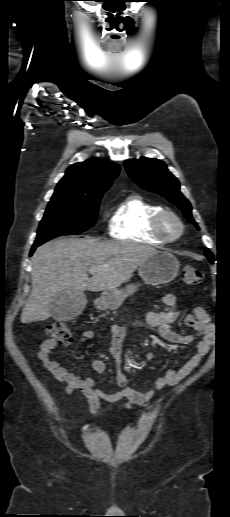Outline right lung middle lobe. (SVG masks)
I'll use <instances>...</instances> for the list:
<instances>
[{
    "instance_id": "1",
    "label": "right lung middle lobe",
    "mask_w": 230,
    "mask_h": 517,
    "mask_svg": "<svg viewBox=\"0 0 230 517\" xmlns=\"http://www.w3.org/2000/svg\"><path fill=\"white\" fill-rule=\"evenodd\" d=\"M103 193L93 197L52 198L38 228L34 244L55 237L79 234L95 224Z\"/></svg>"
}]
</instances>
